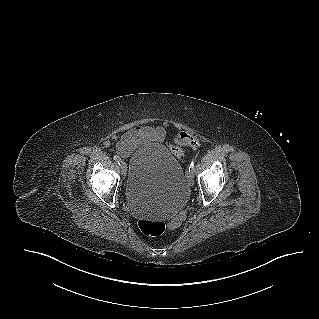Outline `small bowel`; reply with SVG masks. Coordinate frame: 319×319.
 Here are the masks:
<instances>
[{
    "mask_svg": "<svg viewBox=\"0 0 319 319\" xmlns=\"http://www.w3.org/2000/svg\"><path fill=\"white\" fill-rule=\"evenodd\" d=\"M180 129L176 130L177 131ZM189 131L191 129H188ZM167 132L160 126L139 125L125 132H113L108 137V146L123 157H129L139 147L150 142H164Z\"/></svg>",
    "mask_w": 319,
    "mask_h": 319,
    "instance_id": "c3829d8e",
    "label": "small bowel"
}]
</instances>
